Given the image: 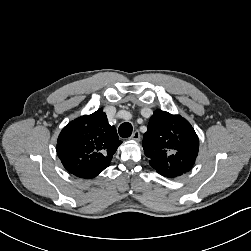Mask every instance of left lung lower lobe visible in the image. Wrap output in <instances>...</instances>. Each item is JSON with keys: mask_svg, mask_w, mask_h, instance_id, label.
<instances>
[{"mask_svg": "<svg viewBox=\"0 0 251 251\" xmlns=\"http://www.w3.org/2000/svg\"><path fill=\"white\" fill-rule=\"evenodd\" d=\"M157 172L165 177H176V176H179V175H182L183 173L187 172H175V171H170L169 169H165V168H159V169H156ZM190 170V169H189ZM188 170V171H189Z\"/></svg>", "mask_w": 251, "mask_h": 251, "instance_id": "left-lung-lower-lobe-1", "label": "left lung lower lobe"}]
</instances>
